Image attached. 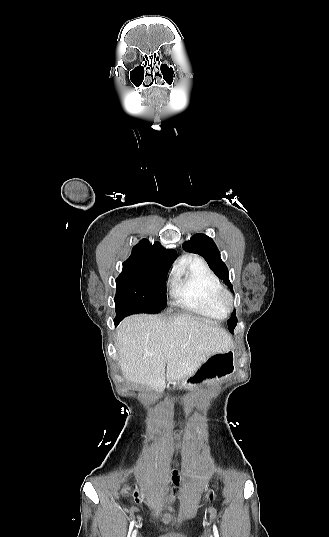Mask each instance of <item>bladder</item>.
Returning a JSON list of instances; mask_svg holds the SVG:
<instances>
[{
	"label": "bladder",
	"instance_id": "1",
	"mask_svg": "<svg viewBox=\"0 0 329 537\" xmlns=\"http://www.w3.org/2000/svg\"><path fill=\"white\" fill-rule=\"evenodd\" d=\"M157 537H189V536L183 532L162 531L160 535Z\"/></svg>",
	"mask_w": 329,
	"mask_h": 537
}]
</instances>
